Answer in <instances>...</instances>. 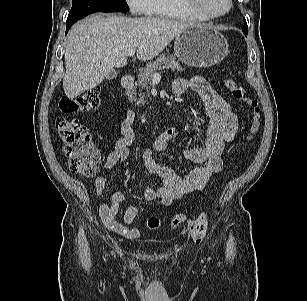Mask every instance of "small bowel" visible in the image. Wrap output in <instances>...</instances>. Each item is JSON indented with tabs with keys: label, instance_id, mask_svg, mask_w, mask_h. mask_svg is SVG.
Returning a JSON list of instances; mask_svg holds the SVG:
<instances>
[{
	"label": "small bowel",
	"instance_id": "c3829d8e",
	"mask_svg": "<svg viewBox=\"0 0 307 301\" xmlns=\"http://www.w3.org/2000/svg\"><path fill=\"white\" fill-rule=\"evenodd\" d=\"M187 90L195 91L201 98L205 111L210 118V127L206 140L192 147L183 148L182 155L197 166L183 178L169 167L160 164L155 158V152H165L170 141L177 133L175 127H169L157 136L153 149L143 153V164L147 175L160 179V184L154 186L149 184L144 192L146 202L158 200L162 206L167 207L175 200L191 195L202 190L208 179L221 171V155L228 142H230L238 129L239 117L230 104L225 101L213 87L199 76L190 79L179 78L173 83V91L183 94ZM136 114L128 110L125 116L119 120L118 129L122 138L117 142L115 148L108 153L103 164L104 169H111L115 164L127 160L130 155V145L134 141L132 125ZM107 185V179L99 176L95 180L98 194H103ZM125 196L121 192L114 193L109 202L100 206V217L107 228L128 239H136L140 236V230L131 226L140 212L138 206H130L123 215L122 222L117 217Z\"/></svg>",
	"mask_w": 307,
	"mask_h": 301
}]
</instances>
